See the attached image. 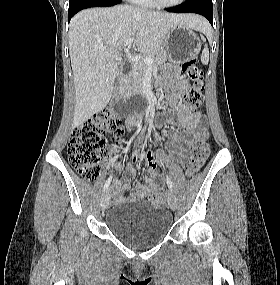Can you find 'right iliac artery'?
<instances>
[{"label":"right iliac artery","mask_w":280,"mask_h":285,"mask_svg":"<svg viewBox=\"0 0 280 285\" xmlns=\"http://www.w3.org/2000/svg\"><path fill=\"white\" fill-rule=\"evenodd\" d=\"M134 138H135V135L132 136L131 141H133ZM111 179H112V175H111V176L108 178V180L105 182V185H104V187H103V192H105V191L108 189V187H109V185H110V182H111Z\"/></svg>","instance_id":"1"}]
</instances>
